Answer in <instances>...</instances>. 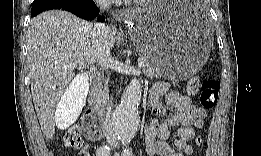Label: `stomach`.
Instances as JSON below:
<instances>
[{
	"instance_id": "obj_1",
	"label": "stomach",
	"mask_w": 261,
	"mask_h": 156,
	"mask_svg": "<svg viewBox=\"0 0 261 156\" xmlns=\"http://www.w3.org/2000/svg\"><path fill=\"white\" fill-rule=\"evenodd\" d=\"M184 3L148 2L128 13L132 41L160 71L173 81L186 80L206 62L212 33L203 21L188 15Z\"/></svg>"
}]
</instances>
